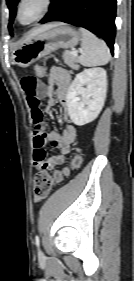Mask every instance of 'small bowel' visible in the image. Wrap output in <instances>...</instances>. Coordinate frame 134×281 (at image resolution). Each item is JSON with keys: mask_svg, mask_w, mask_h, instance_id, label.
Instances as JSON below:
<instances>
[{"mask_svg": "<svg viewBox=\"0 0 134 281\" xmlns=\"http://www.w3.org/2000/svg\"><path fill=\"white\" fill-rule=\"evenodd\" d=\"M71 83L70 73L61 67L52 66L48 75L47 83H43L36 76L25 75L20 79V85L26 94L30 109L32 123L34 126V166L39 170H51L64 163L65 155L70 151V145L76 137V129L66 123L61 134L57 132H46L41 101L45 100V110H49L56 104L54 98V87L58 101L66 106L68 103V88ZM68 120V119H67ZM50 143L58 149V153L47 158L45 147Z\"/></svg>", "mask_w": 134, "mask_h": 281, "instance_id": "1", "label": "small bowel"}]
</instances>
